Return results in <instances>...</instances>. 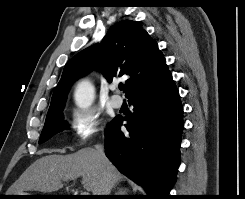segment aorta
Returning a JSON list of instances; mask_svg holds the SVG:
<instances>
[{"instance_id": "aorta-1", "label": "aorta", "mask_w": 245, "mask_h": 199, "mask_svg": "<svg viewBox=\"0 0 245 199\" xmlns=\"http://www.w3.org/2000/svg\"><path fill=\"white\" fill-rule=\"evenodd\" d=\"M94 99V87L93 85L84 80L77 85L75 91L76 105L81 109H87L91 106Z\"/></svg>"}]
</instances>
